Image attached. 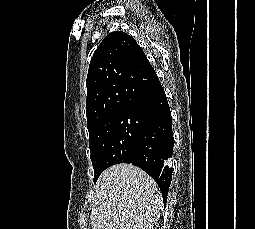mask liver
I'll use <instances>...</instances> for the list:
<instances>
[{"mask_svg": "<svg viewBox=\"0 0 255 229\" xmlns=\"http://www.w3.org/2000/svg\"><path fill=\"white\" fill-rule=\"evenodd\" d=\"M162 197L155 181L140 168L117 164L95 185L92 229H152L160 216Z\"/></svg>", "mask_w": 255, "mask_h": 229, "instance_id": "obj_1", "label": "liver"}]
</instances>
